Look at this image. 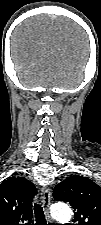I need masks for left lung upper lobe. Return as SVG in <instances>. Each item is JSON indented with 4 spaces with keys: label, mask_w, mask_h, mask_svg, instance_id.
I'll return each mask as SVG.
<instances>
[{
    "label": "left lung upper lobe",
    "mask_w": 101,
    "mask_h": 225,
    "mask_svg": "<svg viewBox=\"0 0 101 225\" xmlns=\"http://www.w3.org/2000/svg\"><path fill=\"white\" fill-rule=\"evenodd\" d=\"M53 197L73 207V225H101V188L89 178H66L54 188Z\"/></svg>",
    "instance_id": "obj_1"
}]
</instances>
